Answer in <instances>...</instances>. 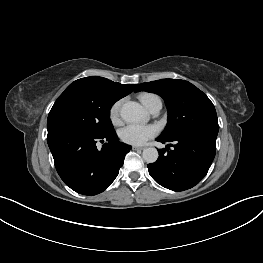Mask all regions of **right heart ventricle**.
<instances>
[{"mask_svg":"<svg viewBox=\"0 0 263 263\" xmlns=\"http://www.w3.org/2000/svg\"><path fill=\"white\" fill-rule=\"evenodd\" d=\"M156 97L158 96H156L155 94L144 92L139 95V100L148 109L150 104Z\"/></svg>","mask_w":263,"mask_h":263,"instance_id":"right-heart-ventricle-1","label":"right heart ventricle"}]
</instances>
